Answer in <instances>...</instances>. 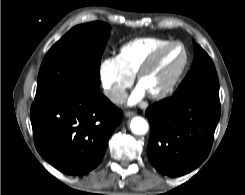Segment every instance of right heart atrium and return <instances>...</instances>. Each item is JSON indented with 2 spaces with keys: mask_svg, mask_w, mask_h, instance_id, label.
I'll list each match as a JSON object with an SVG mask.
<instances>
[{
  "mask_svg": "<svg viewBox=\"0 0 245 195\" xmlns=\"http://www.w3.org/2000/svg\"><path fill=\"white\" fill-rule=\"evenodd\" d=\"M98 77L104 94L114 103H120L126 96V90L133 82L120 65L116 57H106L98 67Z\"/></svg>",
  "mask_w": 245,
  "mask_h": 195,
  "instance_id": "1",
  "label": "right heart atrium"
}]
</instances>
